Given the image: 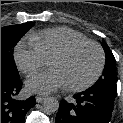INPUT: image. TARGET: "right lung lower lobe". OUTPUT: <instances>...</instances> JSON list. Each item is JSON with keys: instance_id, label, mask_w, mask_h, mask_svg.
Returning <instances> with one entry per match:
<instances>
[{"instance_id": "right-lung-lower-lobe-1", "label": "right lung lower lobe", "mask_w": 123, "mask_h": 123, "mask_svg": "<svg viewBox=\"0 0 123 123\" xmlns=\"http://www.w3.org/2000/svg\"><path fill=\"white\" fill-rule=\"evenodd\" d=\"M21 88L20 77L1 72V123H24L26 113L36 104L33 96L24 101L15 98Z\"/></svg>"}]
</instances>
